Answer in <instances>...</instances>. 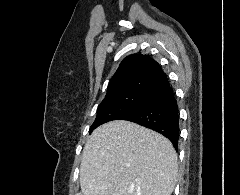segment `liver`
Instances as JSON below:
<instances>
[{"label": "liver", "mask_w": 240, "mask_h": 195, "mask_svg": "<svg viewBox=\"0 0 240 195\" xmlns=\"http://www.w3.org/2000/svg\"><path fill=\"white\" fill-rule=\"evenodd\" d=\"M177 177L171 141L132 121L99 125L82 151L83 195H171Z\"/></svg>", "instance_id": "1"}]
</instances>
